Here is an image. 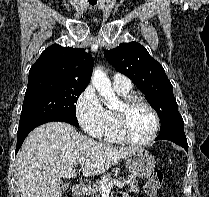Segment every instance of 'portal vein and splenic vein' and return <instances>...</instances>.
I'll use <instances>...</instances> for the list:
<instances>
[{"instance_id": "18ae733b", "label": "portal vein and splenic vein", "mask_w": 209, "mask_h": 197, "mask_svg": "<svg viewBox=\"0 0 209 197\" xmlns=\"http://www.w3.org/2000/svg\"><path fill=\"white\" fill-rule=\"evenodd\" d=\"M78 163H79L80 166H83L84 163H85V159L84 158L79 159ZM114 185L119 187V188H123L124 187V183H122V182H120L118 180H113L111 182H105V181L101 182V189H102L103 192H110L111 188Z\"/></svg>"}]
</instances>
